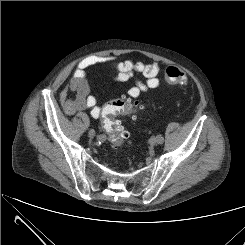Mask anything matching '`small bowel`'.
I'll use <instances>...</instances> for the list:
<instances>
[{
  "mask_svg": "<svg viewBox=\"0 0 245 245\" xmlns=\"http://www.w3.org/2000/svg\"><path fill=\"white\" fill-rule=\"evenodd\" d=\"M95 66H107L114 70V79L118 82H126L135 74H142L146 80H137L128 90V95L137 98L150 89L160 86L159 74L161 66L159 63L134 62L131 60L119 61L114 56H91L81 60L73 71L69 84L59 94L61 106L66 114L77 111L91 110L94 118H99L101 109L97 105L96 98L90 94V84L87 69ZM69 93L73 97H69Z\"/></svg>",
  "mask_w": 245,
  "mask_h": 245,
  "instance_id": "obj_1",
  "label": "small bowel"
}]
</instances>
